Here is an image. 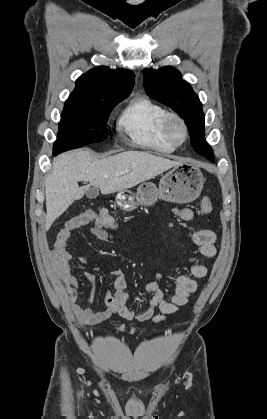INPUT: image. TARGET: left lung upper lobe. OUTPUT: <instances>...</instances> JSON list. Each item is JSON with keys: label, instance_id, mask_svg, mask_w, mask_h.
<instances>
[{"label": "left lung upper lobe", "instance_id": "obj_1", "mask_svg": "<svg viewBox=\"0 0 267 419\" xmlns=\"http://www.w3.org/2000/svg\"><path fill=\"white\" fill-rule=\"evenodd\" d=\"M143 83L150 97L169 106L184 119L195 152L214 161L211 147L204 138L202 104L191 85L182 80L180 72L169 66L144 69Z\"/></svg>", "mask_w": 267, "mask_h": 419}]
</instances>
